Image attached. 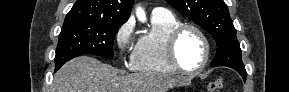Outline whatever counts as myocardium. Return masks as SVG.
<instances>
[{
    "label": "myocardium",
    "instance_id": "f54148a6",
    "mask_svg": "<svg viewBox=\"0 0 289 92\" xmlns=\"http://www.w3.org/2000/svg\"><path fill=\"white\" fill-rule=\"evenodd\" d=\"M193 31L202 39L204 43V58L201 65L194 70H187L180 64L177 57V44L183 33ZM210 42L206 34L197 26L192 24H180L176 26L168 35L166 40V56L170 65L179 73L186 75H196L201 73L207 66L210 58Z\"/></svg>",
    "mask_w": 289,
    "mask_h": 92
}]
</instances>
